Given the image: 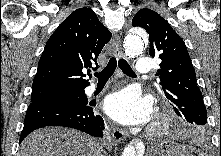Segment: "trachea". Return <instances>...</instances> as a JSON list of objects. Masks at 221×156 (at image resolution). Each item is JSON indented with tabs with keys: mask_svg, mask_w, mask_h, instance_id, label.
<instances>
[{
	"mask_svg": "<svg viewBox=\"0 0 221 156\" xmlns=\"http://www.w3.org/2000/svg\"><path fill=\"white\" fill-rule=\"evenodd\" d=\"M118 66L122 70V72L127 76L136 77V74L134 73V71L132 70V68L130 67V65L127 63L126 60L120 58L118 60ZM116 67H117V60L115 57H112L109 60L107 66L101 72L99 73L97 72L94 75L98 78L99 81H106L113 75Z\"/></svg>",
	"mask_w": 221,
	"mask_h": 156,
	"instance_id": "trachea-1",
	"label": "trachea"
}]
</instances>
